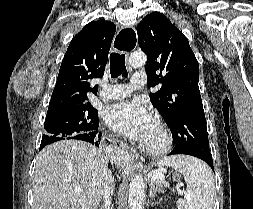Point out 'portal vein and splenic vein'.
<instances>
[{
  "instance_id": "18ae733b",
  "label": "portal vein and splenic vein",
  "mask_w": 253,
  "mask_h": 209,
  "mask_svg": "<svg viewBox=\"0 0 253 209\" xmlns=\"http://www.w3.org/2000/svg\"><path fill=\"white\" fill-rule=\"evenodd\" d=\"M164 180H165V177H164V175L161 174V173H157V174H155V175L152 177V183H154V182H159V181H164ZM76 191H77V192H80L81 190H80V189H76ZM178 192H179L180 194H183V193H184V191H182V190H180V189H178Z\"/></svg>"
}]
</instances>
